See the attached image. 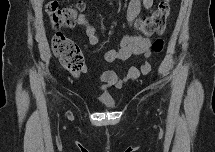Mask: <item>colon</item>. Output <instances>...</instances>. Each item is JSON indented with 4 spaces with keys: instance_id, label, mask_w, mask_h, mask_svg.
<instances>
[{
    "instance_id": "1",
    "label": "colon",
    "mask_w": 215,
    "mask_h": 152,
    "mask_svg": "<svg viewBox=\"0 0 215 152\" xmlns=\"http://www.w3.org/2000/svg\"><path fill=\"white\" fill-rule=\"evenodd\" d=\"M83 4L79 2L75 8H60L57 1L51 0L46 4V12L54 28L72 27L78 21ZM170 1H161L157 8L148 16L137 20L138 30L144 35H152L164 31L170 15ZM163 41L157 39L152 49L155 53L162 51ZM52 49L61 61L62 66L72 75H78L84 67L83 54L79 46L63 34H56L52 39Z\"/></svg>"
}]
</instances>
